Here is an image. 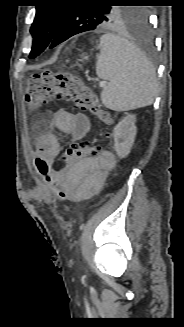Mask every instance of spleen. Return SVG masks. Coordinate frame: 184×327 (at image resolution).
<instances>
[{
	"instance_id": "3e777b00",
	"label": "spleen",
	"mask_w": 184,
	"mask_h": 327,
	"mask_svg": "<svg viewBox=\"0 0 184 327\" xmlns=\"http://www.w3.org/2000/svg\"><path fill=\"white\" fill-rule=\"evenodd\" d=\"M96 73L109 81L101 93L107 108L127 111L153 103L158 87L155 69L128 40L110 33L100 38Z\"/></svg>"
}]
</instances>
